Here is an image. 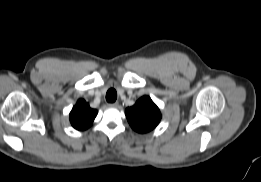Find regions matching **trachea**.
<instances>
[{"label": "trachea", "instance_id": "1", "mask_svg": "<svg viewBox=\"0 0 261 182\" xmlns=\"http://www.w3.org/2000/svg\"><path fill=\"white\" fill-rule=\"evenodd\" d=\"M116 99H117V92H116V90L113 89V88L109 89L107 91V93H106V100H107V102L113 103V102L116 101Z\"/></svg>", "mask_w": 261, "mask_h": 182}]
</instances>
